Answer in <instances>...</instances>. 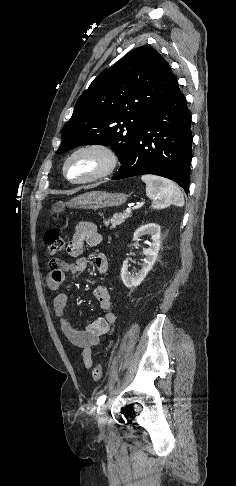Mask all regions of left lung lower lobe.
I'll list each match as a JSON object with an SVG mask.
<instances>
[{
	"mask_svg": "<svg viewBox=\"0 0 236 486\" xmlns=\"http://www.w3.org/2000/svg\"><path fill=\"white\" fill-rule=\"evenodd\" d=\"M191 114L178 84L156 108L112 179L154 174L188 193L192 159Z\"/></svg>",
	"mask_w": 236,
	"mask_h": 486,
	"instance_id": "1",
	"label": "left lung lower lobe"
}]
</instances>
